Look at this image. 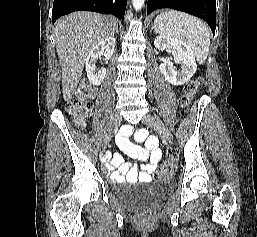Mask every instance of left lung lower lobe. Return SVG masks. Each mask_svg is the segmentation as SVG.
<instances>
[{"mask_svg": "<svg viewBox=\"0 0 257 237\" xmlns=\"http://www.w3.org/2000/svg\"><path fill=\"white\" fill-rule=\"evenodd\" d=\"M161 8L183 11L205 20L212 32L216 28V0H148L147 14Z\"/></svg>", "mask_w": 257, "mask_h": 237, "instance_id": "1", "label": "left lung lower lobe"}]
</instances>
